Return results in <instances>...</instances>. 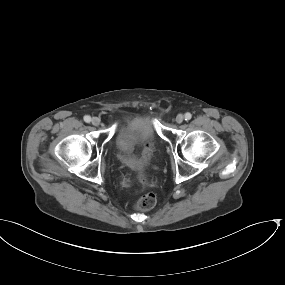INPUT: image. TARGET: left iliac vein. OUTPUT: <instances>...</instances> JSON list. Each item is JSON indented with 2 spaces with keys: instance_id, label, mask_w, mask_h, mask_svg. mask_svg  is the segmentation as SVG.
Masks as SVG:
<instances>
[{
  "instance_id": "left-iliac-vein-1",
  "label": "left iliac vein",
  "mask_w": 285,
  "mask_h": 285,
  "mask_svg": "<svg viewBox=\"0 0 285 285\" xmlns=\"http://www.w3.org/2000/svg\"><path fill=\"white\" fill-rule=\"evenodd\" d=\"M184 120V116L182 114H178L175 118L176 123L180 124Z\"/></svg>"
}]
</instances>
